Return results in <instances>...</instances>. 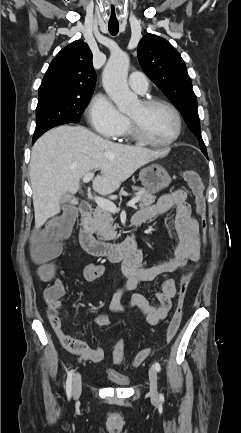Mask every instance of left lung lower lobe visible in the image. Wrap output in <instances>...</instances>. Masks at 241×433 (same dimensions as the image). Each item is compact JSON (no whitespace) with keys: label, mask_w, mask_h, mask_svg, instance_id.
<instances>
[{"label":"left lung lower lobe","mask_w":241,"mask_h":433,"mask_svg":"<svg viewBox=\"0 0 241 433\" xmlns=\"http://www.w3.org/2000/svg\"><path fill=\"white\" fill-rule=\"evenodd\" d=\"M204 155L207 157V153H204Z\"/></svg>","instance_id":"obj_1"}]
</instances>
